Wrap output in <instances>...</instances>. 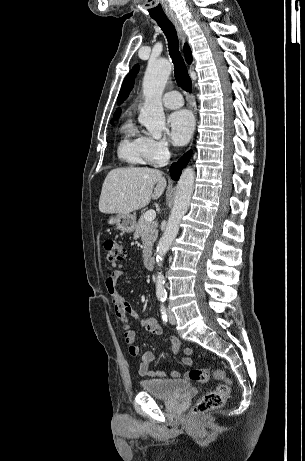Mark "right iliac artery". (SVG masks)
Here are the masks:
<instances>
[{"mask_svg": "<svg viewBox=\"0 0 305 461\" xmlns=\"http://www.w3.org/2000/svg\"><path fill=\"white\" fill-rule=\"evenodd\" d=\"M161 317H162L164 323H166L168 321V319H167L168 318L167 311H166V308H165V306L163 304L161 305Z\"/></svg>", "mask_w": 305, "mask_h": 461, "instance_id": "1", "label": "right iliac artery"}]
</instances>
